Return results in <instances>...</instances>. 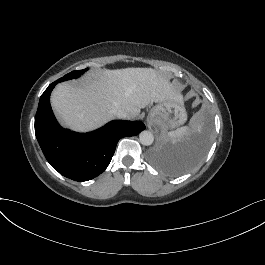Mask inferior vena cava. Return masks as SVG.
<instances>
[{
    "label": "inferior vena cava",
    "instance_id": "602c4592",
    "mask_svg": "<svg viewBox=\"0 0 265 265\" xmlns=\"http://www.w3.org/2000/svg\"><path fill=\"white\" fill-rule=\"evenodd\" d=\"M112 113L116 115L118 118L128 119V113L124 109L119 108V109L113 110Z\"/></svg>",
    "mask_w": 265,
    "mask_h": 265
}]
</instances>
